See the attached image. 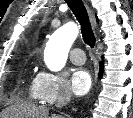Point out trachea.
I'll use <instances>...</instances> for the list:
<instances>
[{
	"label": "trachea",
	"instance_id": "3493384b",
	"mask_svg": "<svg viewBox=\"0 0 133 118\" xmlns=\"http://www.w3.org/2000/svg\"><path fill=\"white\" fill-rule=\"evenodd\" d=\"M66 2L80 23L81 33L85 44L93 48L96 39L90 25L87 10L82 0H66Z\"/></svg>",
	"mask_w": 133,
	"mask_h": 118
}]
</instances>
